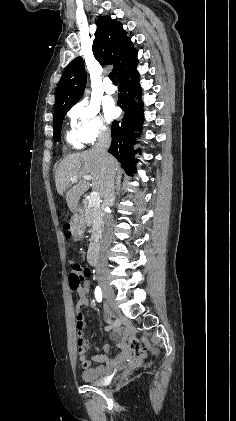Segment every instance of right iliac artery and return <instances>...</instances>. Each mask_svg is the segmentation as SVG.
Wrapping results in <instances>:
<instances>
[{"instance_id": "1", "label": "right iliac artery", "mask_w": 236, "mask_h": 421, "mask_svg": "<svg viewBox=\"0 0 236 421\" xmlns=\"http://www.w3.org/2000/svg\"><path fill=\"white\" fill-rule=\"evenodd\" d=\"M95 298L98 302L102 301V291H101V288L99 286H97L96 289H95Z\"/></svg>"}]
</instances>
